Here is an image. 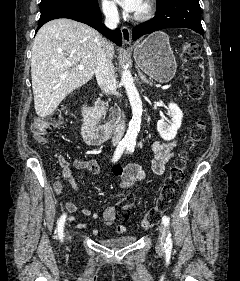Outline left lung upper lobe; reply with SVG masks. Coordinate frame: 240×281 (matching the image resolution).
<instances>
[{
    "instance_id": "obj_1",
    "label": "left lung upper lobe",
    "mask_w": 240,
    "mask_h": 281,
    "mask_svg": "<svg viewBox=\"0 0 240 281\" xmlns=\"http://www.w3.org/2000/svg\"><path fill=\"white\" fill-rule=\"evenodd\" d=\"M162 0H157V4L160 3Z\"/></svg>"
}]
</instances>
